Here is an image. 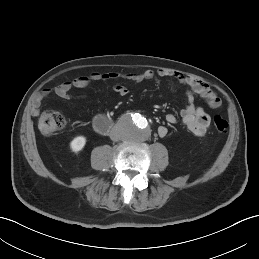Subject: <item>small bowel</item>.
Instances as JSON below:
<instances>
[{
  "mask_svg": "<svg viewBox=\"0 0 259 259\" xmlns=\"http://www.w3.org/2000/svg\"><path fill=\"white\" fill-rule=\"evenodd\" d=\"M156 75L162 78L173 76L178 80L179 83L186 87V104L180 110L182 122L193 135L198 137L204 136L210 127V117L203 108L195 105L194 94H198L203 99H205L211 108H217L221 105L220 97L207 82L196 77L174 72L169 69H160L157 72L152 70H145L139 73L128 74H121L115 71L104 73L93 72L89 75L81 76L74 81L63 82L52 88L39 91L33 97L32 111L34 114H38L44 101L51 95H55L63 99H70V92L74 87L85 88L97 81L108 82L122 77L127 78L135 83H140L143 81L151 80ZM114 91L121 96H125L128 93L127 87L122 84H116L114 86ZM166 121L170 124H173L177 121V117L173 113H168L166 115ZM157 133L160 137H165L168 134V129L165 126H160L157 130Z\"/></svg>",
  "mask_w": 259,
  "mask_h": 259,
  "instance_id": "small-bowel-1",
  "label": "small bowel"
}]
</instances>
